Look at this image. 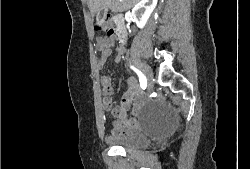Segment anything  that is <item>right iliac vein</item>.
Segmentation results:
<instances>
[{"label": "right iliac vein", "mask_w": 250, "mask_h": 169, "mask_svg": "<svg viewBox=\"0 0 250 169\" xmlns=\"http://www.w3.org/2000/svg\"><path fill=\"white\" fill-rule=\"evenodd\" d=\"M140 68L143 70L145 77L148 80V85H149V89H152V77L153 74L150 71L149 67L146 64H140Z\"/></svg>", "instance_id": "63e3f726"}]
</instances>
